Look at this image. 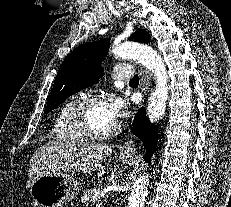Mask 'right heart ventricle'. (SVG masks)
<instances>
[{"label":"right heart ventricle","mask_w":231,"mask_h":207,"mask_svg":"<svg viewBox=\"0 0 231 207\" xmlns=\"http://www.w3.org/2000/svg\"><path fill=\"white\" fill-rule=\"evenodd\" d=\"M77 101V97H71L57 111L53 124V135L56 140L62 142H79L82 140L73 128L70 117Z\"/></svg>","instance_id":"obj_1"}]
</instances>
